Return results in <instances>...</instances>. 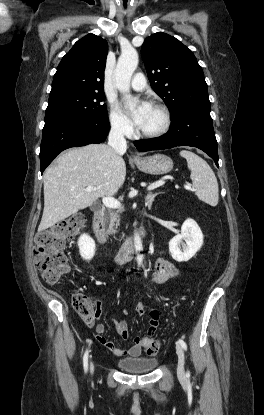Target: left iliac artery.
<instances>
[{"mask_svg": "<svg viewBox=\"0 0 264 415\" xmlns=\"http://www.w3.org/2000/svg\"><path fill=\"white\" fill-rule=\"evenodd\" d=\"M178 343L182 346V348L184 350H187V345H186V343L182 339H179L178 340ZM186 376L187 377H190V372L189 371L186 373Z\"/></svg>", "mask_w": 264, "mask_h": 415, "instance_id": "44dca946", "label": "left iliac artery"}]
</instances>
